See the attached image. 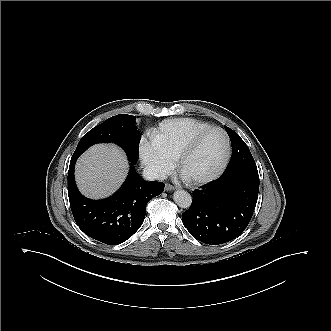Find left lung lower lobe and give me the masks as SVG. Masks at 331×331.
I'll list each match as a JSON object with an SVG mask.
<instances>
[{"label":"left lung lower lobe","instance_id":"left-lung-lower-lobe-1","mask_svg":"<svg viewBox=\"0 0 331 331\" xmlns=\"http://www.w3.org/2000/svg\"><path fill=\"white\" fill-rule=\"evenodd\" d=\"M193 193L182 214L187 230L199 241L219 245L237 238L252 218L258 192V171H225Z\"/></svg>","mask_w":331,"mask_h":331}]
</instances>
